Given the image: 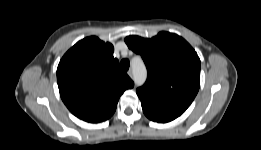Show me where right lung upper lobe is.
<instances>
[{"instance_id":"cb5924a9","label":"right lung upper lobe","mask_w":261,"mask_h":150,"mask_svg":"<svg viewBox=\"0 0 261 150\" xmlns=\"http://www.w3.org/2000/svg\"><path fill=\"white\" fill-rule=\"evenodd\" d=\"M113 51L112 44L91 36L76 43L60 60V96L67 108L84 121L109 119L122 93L134 86Z\"/></svg>"}]
</instances>
